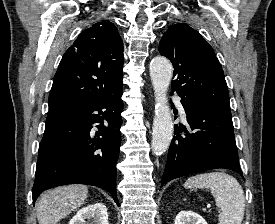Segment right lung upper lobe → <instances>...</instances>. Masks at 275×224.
Instances as JSON below:
<instances>
[{"mask_svg":"<svg viewBox=\"0 0 275 224\" xmlns=\"http://www.w3.org/2000/svg\"><path fill=\"white\" fill-rule=\"evenodd\" d=\"M123 43L113 23L84 30L65 52L49 94V110L100 100L122 88Z\"/></svg>","mask_w":275,"mask_h":224,"instance_id":"right-lung-upper-lobe-1","label":"right lung upper lobe"}]
</instances>
